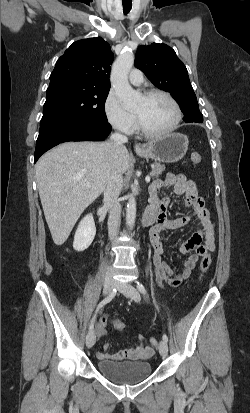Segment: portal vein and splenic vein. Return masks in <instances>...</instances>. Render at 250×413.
<instances>
[{
	"label": "portal vein and splenic vein",
	"mask_w": 250,
	"mask_h": 413,
	"mask_svg": "<svg viewBox=\"0 0 250 413\" xmlns=\"http://www.w3.org/2000/svg\"><path fill=\"white\" fill-rule=\"evenodd\" d=\"M145 181H146V183H149V182H150V176H147V177L145 178ZM86 186H90V182H87V183H86Z\"/></svg>",
	"instance_id": "portal-vein-and-splenic-vein-1"
}]
</instances>
